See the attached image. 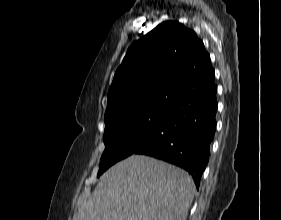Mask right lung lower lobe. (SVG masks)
<instances>
[{"instance_id":"1","label":"right lung lower lobe","mask_w":281,"mask_h":220,"mask_svg":"<svg viewBox=\"0 0 281 220\" xmlns=\"http://www.w3.org/2000/svg\"><path fill=\"white\" fill-rule=\"evenodd\" d=\"M217 86L176 102L152 137L133 154H144L179 166L192 175L197 189L207 166L216 129Z\"/></svg>"}]
</instances>
